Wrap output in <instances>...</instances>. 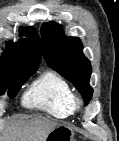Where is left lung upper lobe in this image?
I'll use <instances>...</instances> for the list:
<instances>
[{"label":"left lung upper lobe","instance_id":"1","mask_svg":"<svg viewBox=\"0 0 119 141\" xmlns=\"http://www.w3.org/2000/svg\"><path fill=\"white\" fill-rule=\"evenodd\" d=\"M41 34V48L47 64L72 82L88 104L93 93L89 85L92 68L83 55L81 41L64 36L61 26L55 22L44 23Z\"/></svg>","mask_w":119,"mask_h":141}]
</instances>
